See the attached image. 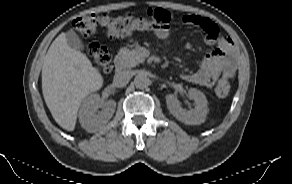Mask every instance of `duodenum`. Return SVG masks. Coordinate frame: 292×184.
Masks as SVG:
<instances>
[{"mask_svg": "<svg viewBox=\"0 0 292 184\" xmlns=\"http://www.w3.org/2000/svg\"><path fill=\"white\" fill-rule=\"evenodd\" d=\"M114 67L117 71H122L124 67V60L121 56H117L114 60Z\"/></svg>", "mask_w": 292, "mask_h": 184, "instance_id": "410a0bca", "label": "duodenum"}]
</instances>
